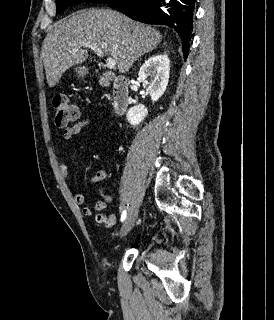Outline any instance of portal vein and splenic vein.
<instances>
[{
	"label": "portal vein and splenic vein",
	"instance_id": "portal-vein-and-splenic-vein-1",
	"mask_svg": "<svg viewBox=\"0 0 274 320\" xmlns=\"http://www.w3.org/2000/svg\"><path fill=\"white\" fill-rule=\"evenodd\" d=\"M81 46H85V48H91V50H94L95 54H97L99 58H104V52H102L101 48H98L96 44H88V42H82ZM105 62V66H107L109 70H113V68H116V60H114V58H106Z\"/></svg>",
	"mask_w": 274,
	"mask_h": 320
}]
</instances>
